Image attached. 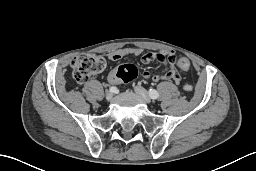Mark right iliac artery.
I'll use <instances>...</instances> for the list:
<instances>
[{"instance_id":"1","label":"right iliac artery","mask_w":256,"mask_h":171,"mask_svg":"<svg viewBox=\"0 0 256 171\" xmlns=\"http://www.w3.org/2000/svg\"><path fill=\"white\" fill-rule=\"evenodd\" d=\"M116 87H114V86H112L111 88H110V92H112V93H114V92H116Z\"/></svg>"}]
</instances>
